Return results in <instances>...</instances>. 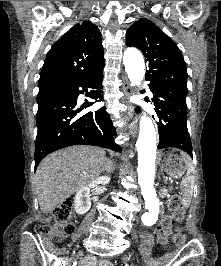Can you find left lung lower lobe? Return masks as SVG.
I'll list each match as a JSON object with an SVG mask.
<instances>
[{
    "mask_svg": "<svg viewBox=\"0 0 221 266\" xmlns=\"http://www.w3.org/2000/svg\"><path fill=\"white\" fill-rule=\"evenodd\" d=\"M152 102L159 118L158 149L175 147L184 150L192 158V144L187 129L186 95L159 83H150ZM139 111V109H136Z\"/></svg>",
    "mask_w": 221,
    "mask_h": 266,
    "instance_id": "0a47b994",
    "label": "left lung lower lobe"
}]
</instances>
